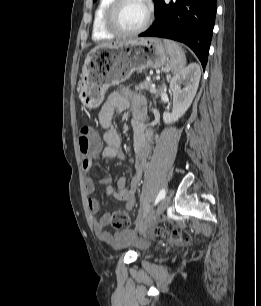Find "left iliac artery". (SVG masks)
I'll return each instance as SVG.
<instances>
[{
    "instance_id": "1",
    "label": "left iliac artery",
    "mask_w": 261,
    "mask_h": 306,
    "mask_svg": "<svg viewBox=\"0 0 261 306\" xmlns=\"http://www.w3.org/2000/svg\"><path fill=\"white\" fill-rule=\"evenodd\" d=\"M166 195V190L165 189H162L159 194L157 195L156 199H155V202H154V205L158 204V202L163 199Z\"/></svg>"
}]
</instances>
